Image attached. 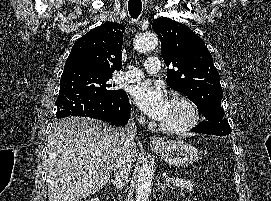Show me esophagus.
Wrapping results in <instances>:
<instances>
[{
	"label": "esophagus",
	"instance_id": "1",
	"mask_svg": "<svg viewBox=\"0 0 271 201\" xmlns=\"http://www.w3.org/2000/svg\"><path fill=\"white\" fill-rule=\"evenodd\" d=\"M149 142L152 146H161L163 144L162 140L157 136H151Z\"/></svg>",
	"mask_w": 271,
	"mask_h": 201
}]
</instances>
